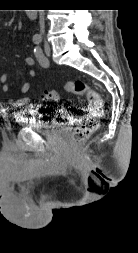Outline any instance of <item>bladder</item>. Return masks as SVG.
<instances>
[{
	"mask_svg": "<svg viewBox=\"0 0 138 253\" xmlns=\"http://www.w3.org/2000/svg\"><path fill=\"white\" fill-rule=\"evenodd\" d=\"M44 109V107L35 105L28 110L18 112L19 123L38 133H50L56 128H61L60 123L48 118L50 112H45Z\"/></svg>",
	"mask_w": 138,
	"mask_h": 253,
	"instance_id": "obj_1",
	"label": "bladder"
}]
</instances>
